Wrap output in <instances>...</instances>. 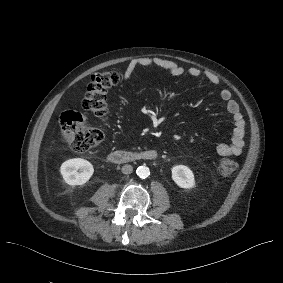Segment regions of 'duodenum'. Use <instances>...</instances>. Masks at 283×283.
<instances>
[{"label": "duodenum", "mask_w": 283, "mask_h": 283, "mask_svg": "<svg viewBox=\"0 0 283 283\" xmlns=\"http://www.w3.org/2000/svg\"><path fill=\"white\" fill-rule=\"evenodd\" d=\"M158 158L155 150L148 149L143 151H124L117 150L108 154L107 159L114 164H124L136 161H153Z\"/></svg>", "instance_id": "410a0bca"}]
</instances>
